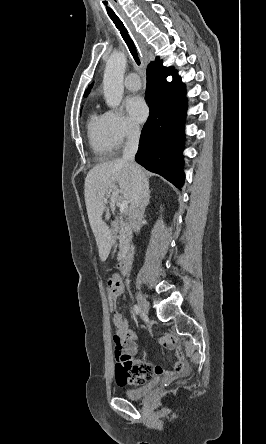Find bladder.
<instances>
[{
  "label": "bladder",
  "instance_id": "31cf9c89",
  "mask_svg": "<svg viewBox=\"0 0 266 444\" xmlns=\"http://www.w3.org/2000/svg\"><path fill=\"white\" fill-rule=\"evenodd\" d=\"M159 380L153 379L149 383H147L145 386L141 388H135V389H126L124 391V395L133 400H138L144 398L146 395L151 393L154 388L158 385Z\"/></svg>",
  "mask_w": 266,
  "mask_h": 444
}]
</instances>
